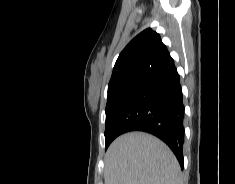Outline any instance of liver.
Instances as JSON below:
<instances>
[{
	"instance_id": "6515ba94",
	"label": "liver",
	"mask_w": 235,
	"mask_h": 184,
	"mask_svg": "<svg viewBox=\"0 0 235 184\" xmlns=\"http://www.w3.org/2000/svg\"><path fill=\"white\" fill-rule=\"evenodd\" d=\"M105 184H182V176L164 142L145 132H129L106 152Z\"/></svg>"
}]
</instances>
